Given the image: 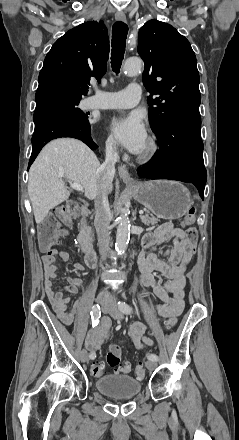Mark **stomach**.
I'll return each mask as SVG.
<instances>
[{
    "label": "stomach",
    "instance_id": "1",
    "mask_svg": "<svg viewBox=\"0 0 239 440\" xmlns=\"http://www.w3.org/2000/svg\"><path fill=\"white\" fill-rule=\"evenodd\" d=\"M129 190L134 200L163 220H178L192 206L191 194L180 182L150 180L138 182L137 188Z\"/></svg>",
    "mask_w": 239,
    "mask_h": 440
}]
</instances>
